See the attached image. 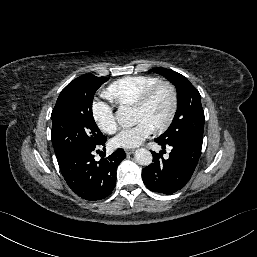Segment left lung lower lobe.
Masks as SVG:
<instances>
[{
  "label": "left lung lower lobe",
  "mask_w": 257,
  "mask_h": 257,
  "mask_svg": "<svg viewBox=\"0 0 257 257\" xmlns=\"http://www.w3.org/2000/svg\"><path fill=\"white\" fill-rule=\"evenodd\" d=\"M155 142L163 149L171 146L172 150L168 159L163 158V151L152 152L153 163L142 170L143 182L153 192L170 195L190 180L201 155L202 143L181 140L164 143L159 139Z\"/></svg>",
  "instance_id": "left-lung-lower-lobe-1"
}]
</instances>
